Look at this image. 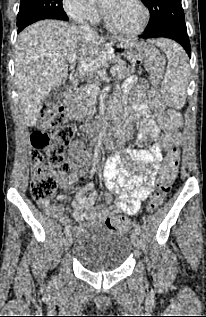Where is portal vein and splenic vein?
Returning a JSON list of instances; mask_svg holds the SVG:
<instances>
[{
    "label": "portal vein and splenic vein",
    "mask_w": 206,
    "mask_h": 317,
    "mask_svg": "<svg viewBox=\"0 0 206 317\" xmlns=\"http://www.w3.org/2000/svg\"><path fill=\"white\" fill-rule=\"evenodd\" d=\"M67 60L70 64H74L75 61L77 60V55L75 53H69L68 56H67ZM93 65V63H82V68L83 70H88L91 66ZM120 68L119 65H114L112 68H111V74H115L116 71ZM85 90L86 92L91 95V96H94L96 97L99 93V87L95 84H88L86 87H85Z\"/></svg>",
    "instance_id": "portal-vein-and-splenic-vein-1"
}]
</instances>
